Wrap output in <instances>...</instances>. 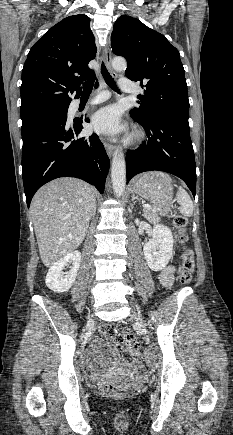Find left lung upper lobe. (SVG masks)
<instances>
[{"instance_id":"left-lung-upper-lobe-1","label":"left lung upper lobe","mask_w":233,"mask_h":435,"mask_svg":"<svg viewBox=\"0 0 233 435\" xmlns=\"http://www.w3.org/2000/svg\"><path fill=\"white\" fill-rule=\"evenodd\" d=\"M111 46L115 55L127 60L125 76L145 87L140 106L130 111L132 117L143 122L188 120L184 67L179 51L165 36L138 19L122 15L114 24Z\"/></svg>"}]
</instances>
